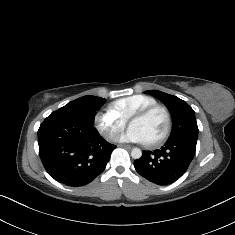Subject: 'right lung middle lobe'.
Segmentation results:
<instances>
[{
	"mask_svg": "<svg viewBox=\"0 0 235 235\" xmlns=\"http://www.w3.org/2000/svg\"><path fill=\"white\" fill-rule=\"evenodd\" d=\"M105 99L96 96H83L61 107L54 113L65 114L78 118L86 123L94 124L96 111L104 103Z\"/></svg>",
	"mask_w": 235,
	"mask_h": 235,
	"instance_id": "right-lung-middle-lobe-1",
	"label": "right lung middle lobe"
}]
</instances>
